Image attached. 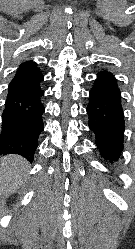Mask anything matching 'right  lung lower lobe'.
Wrapping results in <instances>:
<instances>
[{
	"instance_id": "right-lung-lower-lobe-1",
	"label": "right lung lower lobe",
	"mask_w": 135,
	"mask_h": 249,
	"mask_svg": "<svg viewBox=\"0 0 135 249\" xmlns=\"http://www.w3.org/2000/svg\"><path fill=\"white\" fill-rule=\"evenodd\" d=\"M43 78L40 73L9 83L2 114L1 154H18L30 162L33 160L39 135L44 129Z\"/></svg>"
}]
</instances>
